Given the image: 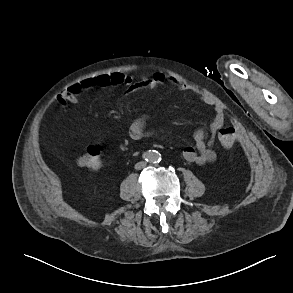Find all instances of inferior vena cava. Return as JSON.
I'll return each instance as SVG.
<instances>
[{"mask_svg":"<svg viewBox=\"0 0 293 293\" xmlns=\"http://www.w3.org/2000/svg\"><path fill=\"white\" fill-rule=\"evenodd\" d=\"M146 166V162L142 161V162H138L135 165V169L140 170L142 168H144Z\"/></svg>","mask_w":293,"mask_h":293,"instance_id":"inferior-vena-cava-1","label":"inferior vena cava"}]
</instances>
